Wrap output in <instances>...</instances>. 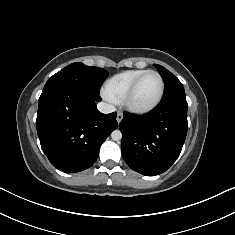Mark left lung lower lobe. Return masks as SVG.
<instances>
[{"label":"left lung lower lobe","mask_w":235,"mask_h":235,"mask_svg":"<svg viewBox=\"0 0 235 235\" xmlns=\"http://www.w3.org/2000/svg\"><path fill=\"white\" fill-rule=\"evenodd\" d=\"M187 107L185 96H179L163 99L145 115L124 114L121 149L131 169L154 176L171 167L186 138Z\"/></svg>","instance_id":"1"}]
</instances>
